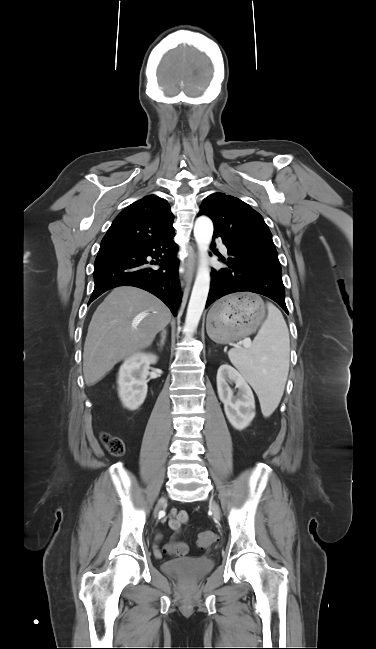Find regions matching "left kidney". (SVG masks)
<instances>
[{"instance_id":"left-kidney-1","label":"left kidney","mask_w":376,"mask_h":649,"mask_svg":"<svg viewBox=\"0 0 376 649\" xmlns=\"http://www.w3.org/2000/svg\"><path fill=\"white\" fill-rule=\"evenodd\" d=\"M233 383L238 389L236 395L229 386ZM217 391L231 425L238 430L249 426L255 417V400L244 377L228 364L220 366L217 372Z\"/></svg>"}]
</instances>
